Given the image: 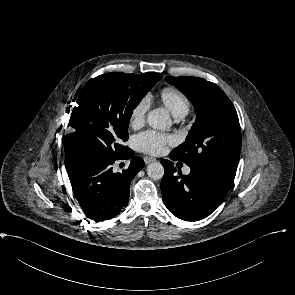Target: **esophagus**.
Returning <instances> with one entry per match:
<instances>
[{
    "label": "esophagus",
    "mask_w": 295,
    "mask_h": 295,
    "mask_svg": "<svg viewBox=\"0 0 295 295\" xmlns=\"http://www.w3.org/2000/svg\"><path fill=\"white\" fill-rule=\"evenodd\" d=\"M155 161H156V159L153 158V157H149V156L144 157V162L146 164H150V163L155 162Z\"/></svg>",
    "instance_id": "esophagus-1"
}]
</instances>
